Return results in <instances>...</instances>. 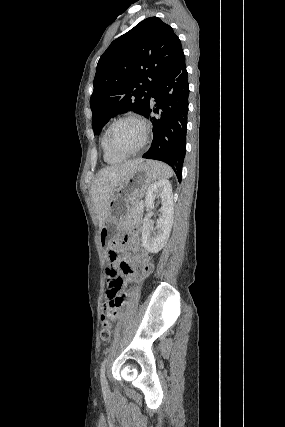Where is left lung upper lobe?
I'll return each instance as SVG.
<instances>
[{"mask_svg": "<svg viewBox=\"0 0 285 427\" xmlns=\"http://www.w3.org/2000/svg\"><path fill=\"white\" fill-rule=\"evenodd\" d=\"M182 51L173 29L150 17L114 40L100 57L90 98L92 128L99 134L115 115H144L155 86Z\"/></svg>", "mask_w": 285, "mask_h": 427, "instance_id": "left-lung-upper-lobe-1", "label": "left lung upper lobe"}]
</instances>
